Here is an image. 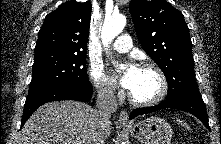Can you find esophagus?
Listing matches in <instances>:
<instances>
[{
  "mask_svg": "<svg viewBox=\"0 0 221 144\" xmlns=\"http://www.w3.org/2000/svg\"><path fill=\"white\" fill-rule=\"evenodd\" d=\"M119 123L122 124V125L129 124L128 113L124 110H122L119 113Z\"/></svg>",
  "mask_w": 221,
  "mask_h": 144,
  "instance_id": "esophagus-1",
  "label": "esophagus"
}]
</instances>
